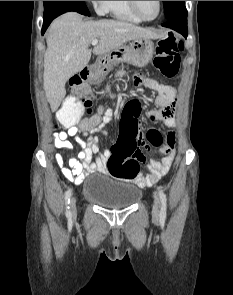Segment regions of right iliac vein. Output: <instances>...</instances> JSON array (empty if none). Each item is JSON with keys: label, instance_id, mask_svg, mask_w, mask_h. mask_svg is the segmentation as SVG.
<instances>
[{"label": "right iliac vein", "instance_id": "right-iliac-vein-1", "mask_svg": "<svg viewBox=\"0 0 233 295\" xmlns=\"http://www.w3.org/2000/svg\"><path fill=\"white\" fill-rule=\"evenodd\" d=\"M70 209H71V214L75 216L77 213L76 197H72L70 202Z\"/></svg>", "mask_w": 233, "mask_h": 295}]
</instances>
